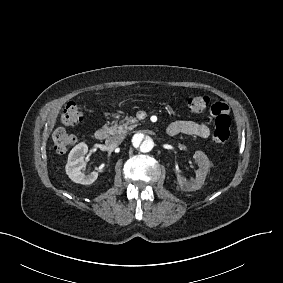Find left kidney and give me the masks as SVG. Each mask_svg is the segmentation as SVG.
Returning <instances> with one entry per match:
<instances>
[{
	"label": "left kidney",
	"mask_w": 283,
	"mask_h": 283,
	"mask_svg": "<svg viewBox=\"0 0 283 283\" xmlns=\"http://www.w3.org/2000/svg\"><path fill=\"white\" fill-rule=\"evenodd\" d=\"M193 158L198 163L199 169L196 170V178L187 180L180 173H177V181L182 191H196L200 189L209 171L210 161L202 151H196Z\"/></svg>",
	"instance_id": "obj_1"
}]
</instances>
